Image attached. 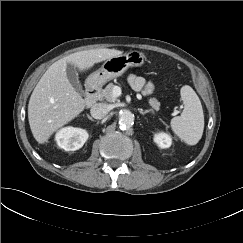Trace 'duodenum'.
I'll use <instances>...</instances> for the list:
<instances>
[{
  "label": "duodenum",
  "mask_w": 243,
  "mask_h": 243,
  "mask_svg": "<svg viewBox=\"0 0 243 243\" xmlns=\"http://www.w3.org/2000/svg\"><path fill=\"white\" fill-rule=\"evenodd\" d=\"M100 89L96 84H89L86 90L85 102L88 107L93 106L99 97Z\"/></svg>",
  "instance_id": "duodenum-1"
}]
</instances>
